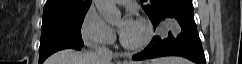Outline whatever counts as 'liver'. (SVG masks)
<instances>
[{
    "mask_svg": "<svg viewBox=\"0 0 242 64\" xmlns=\"http://www.w3.org/2000/svg\"><path fill=\"white\" fill-rule=\"evenodd\" d=\"M44 64H100V62L93 53L80 54L72 49H66L51 55Z\"/></svg>",
    "mask_w": 242,
    "mask_h": 64,
    "instance_id": "6515ba94",
    "label": "liver"
}]
</instances>
